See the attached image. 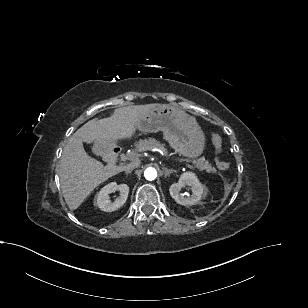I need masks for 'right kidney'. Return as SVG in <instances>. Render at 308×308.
Here are the masks:
<instances>
[{"label":"right kidney","instance_id":"ca27d5eb","mask_svg":"<svg viewBox=\"0 0 308 308\" xmlns=\"http://www.w3.org/2000/svg\"><path fill=\"white\" fill-rule=\"evenodd\" d=\"M116 190L120 191V196L114 201L111 202L109 199V194L115 192ZM129 193V187L126 184H117L116 182H111L104 186L96 197L97 206L105 212H112L119 209L127 200Z\"/></svg>","mask_w":308,"mask_h":308}]
</instances>
